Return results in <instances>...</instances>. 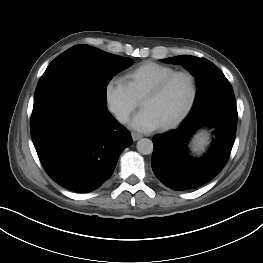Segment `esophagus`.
Here are the masks:
<instances>
[{
  "label": "esophagus",
  "mask_w": 263,
  "mask_h": 263,
  "mask_svg": "<svg viewBox=\"0 0 263 263\" xmlns=\"http://www.w3.org/2000/svg\"><path fill=\"white\" fill-rule=\"evenodd\" d=\"M131 136H132V139H133L134 141H137V140H139L140 138H142V135L139 134V133H136V132H132V133H131Z\"/></svg>",
  "instance_id": "obj_1"
}]
</instances>
